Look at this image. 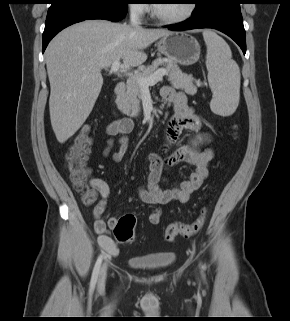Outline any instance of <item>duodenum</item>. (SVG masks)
Here are the masks:
<instances>
[{
    "instance_id": "1",
    "label": "duodenum",
    "mask_w": 290,
    "mask_h": 321,
    "mask_svg": "<svg viewBox=\"0 0 290 321\" xmlns=\"http://www.w3.org/2000/svg\"><path fill=\"white\" fill-rule=\"evenodd\" d=\"M125 92V84L124 82H118L115 85L113 96H112V104L117 107L119 99L123 96Z\"/></svg>"
}]
</instances>
